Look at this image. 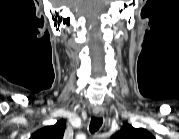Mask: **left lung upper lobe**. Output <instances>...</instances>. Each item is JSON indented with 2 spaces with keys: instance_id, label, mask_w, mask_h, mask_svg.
Segmentation results:
<instances>
[{
  "instance_id": "obj_1",
  "label": "left lung upper lobe",
  "mask_w": 179,
  "mask_h": 139,
  "mask_svg": "<svg viewBox=\"0 0 179 139\" xmlns=\"http://www.w3.org/2000/svg\"><path fill=\"white\" fill-rule=\"evenodd\" d=\"M151 136L149 132L142 128H134L130 124H125L116 133L114 139H147Z\"/></svg>"
}]
</instances>
